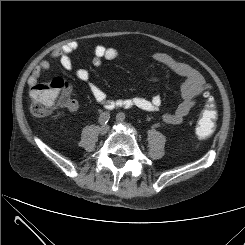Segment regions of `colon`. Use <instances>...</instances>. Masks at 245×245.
Masks as SVG:
<instances>
[{"mask_svg": "<svg viewBox=\"0 0 245 245\" xmlns=\"http://www.w3.org/2000/svg\"><path fill=\"white\" fill-rule=\"evenodd\" d=\"M29 95L31 111L36 116H47L56 107L69 108L72 105L70 86L67 81L61 78L33 84L29 90ZM204 98L205 107L195 128L196 135L201 140L212 135L217 120V111L212 94L205 91Z\"/></svg>", "mask_w": 245, "mask_h": 245, "instance_id": "5ec220e1", "label": "colon"}]
</instances>
